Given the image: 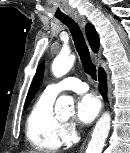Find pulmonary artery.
Segmentation results:
<instances>
[{"label":"pulmonary artery","mask_w":130,"mask_h":153,"mask_svg":"<svg viewBox=\"0 0 130 153\" xmlns=\"http://www.w3.org/2000/svg\"><path fill=\"white\" fill-rule=\"evenodd\" d=\"M88 85L75 77H67L59 82L52 83L46 87V92L57 96L63 91L71 90L77 93H83L88 90Z\"/></svg>","instance_id":"pulmonary-artery-1"}]
</instances>
